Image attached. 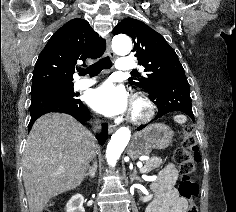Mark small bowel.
Instances as JSON below:
<instances>
[{
    "label": "small bowel",
    "instance_id": "obj_1",
    "mask_svg": "<svg viewBox=\"0 0 236 212\" xmlns=\"http://www.w3.org/2000/svg\"><path fill=\"white\" fill-rule=\"evenodd\" d=\"M178 172L173 164H168L159 173L153 188L156 198L150 202L147 212H187L188 202L174 187Z\"/></svg>",
    "mask_w": 236,
    "mask_h": 212
}]
</instances>
